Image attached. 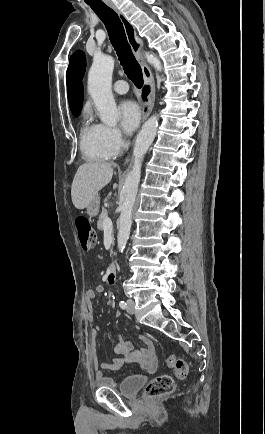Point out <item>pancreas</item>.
Returning <instances> with one entry per match:
<instances>
[{
  "label": "pancreas",
  "mask_w": 265,
  "mask_h": 434,
  "mask_svg": "<svg viewBox=\"0 0 265 434\" xmlns=\"http://www.w3.org/2000/svg\"><path fill=\"white\" fill-rule=\"evenodd\" d=\"M105 218H108V212H107V210H104V208H103V210H102V212H101V214L99 216V220L97 222V228H98V230H104L103 224H104Z\"/></svg>",
  "instance_id": "1"
}]
</instances>
